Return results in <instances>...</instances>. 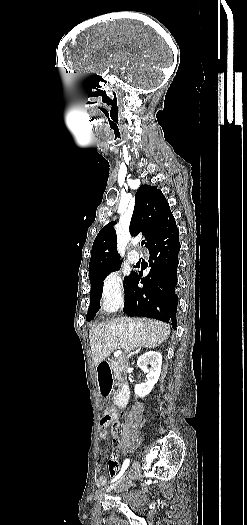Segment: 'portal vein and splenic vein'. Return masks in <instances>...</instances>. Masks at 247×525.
Instances as JSON below:
<instances>
[{
    "instance_id": "18ae733b",
    "label": "portal vein and splenic vein",
    "mask_w": 247,
    "mask_h": 525,
    "mask_svg": "<svg viewBox=\"0 0 247 525\" xmlns=\"http://www.w3.org/2000/svg\"><path fill=\"white\" fill-rule=\"evenodd\" d=\"M122 351H114L112 353V359H117L119 355H121Z\"/></svg>"
}]
</instances>
